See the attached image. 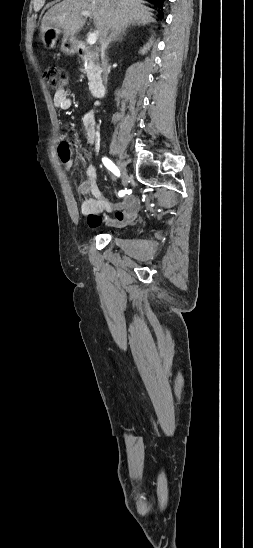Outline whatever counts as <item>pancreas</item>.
Wrapping results in <instances>:
<instances>
[{"label":"pancreas","instance_id":"cf45deb5","mask_svg":"<svg viewBox=\"0 0 253 548\" xmlns=\"http://www.w3.org/2000/svg\"><path fill=\"white\" fill-rule=\"evenodd\" d=\"M84 72L89 80V89L94 90L100 83V65L98 61L90 56L84 58Z\"/></svg>","mask_w":253,"mask_h":548}]
</instances>
